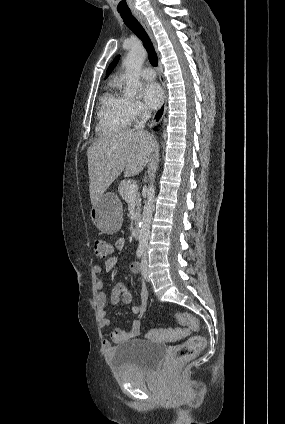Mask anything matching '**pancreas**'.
Instances as JSON below:
<instances>
[{"instance_id": "pancreas-1", "label": "pancreas", "mask_w": 285, "mask_h": 424, "mask_svg": "<svg viewBox=\"0 0 285 424\" xmlns=\"http://www.w3.org/2000/svg\"><path fill=\"white\" fill-rule=\"evenodd\" d=\"M132 182L129 180H123L120 182L119 187H118V192L120 194V196L122 197L123 200L128 201L129 200V195H128V187ZM135 203H136V213L139 214L140 213V206H141V198L139 193H136L135 195Z\"/></svg>"}]
</instances>
